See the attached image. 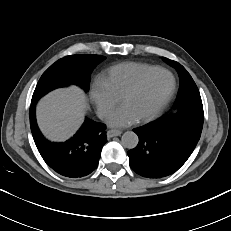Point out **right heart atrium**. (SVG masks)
Returning <instances> with one entry per match:
<instances>
[{
	"mask_svg": "<svg viewBox=\"0 0 231 231\" xmlns=\"http://www.w3.org/2000/svg\"><path fill=\"white\" fill-rule=\"evenodd\" d=\"M91 97L98 114L102 118L108 117L120 102V98L110 90L102 78H96L94 80L91 87Z\"/></svg>",
	"mask_w": 231,
	"mask_h": 231,
	"instance_id": "obj_1",
	"label": "right heart atrium"
}]
</instances>
